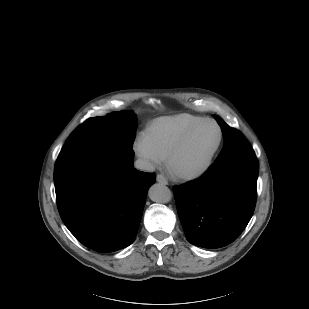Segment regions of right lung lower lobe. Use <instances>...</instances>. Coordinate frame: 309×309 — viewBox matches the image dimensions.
<instances>
[{"mask_svg": "<svg viewBox=\"0 0 309 309\" xmlns=\"http://www.w3.org/2000/svg\"><path fill=\"white\" fill-rule=\"evenodd\" d=\"M132 159V149L97 143L54 170L60 216L94 251H117L135 239L155 175L134 170Z\"/></svg>", "mask_w": 309, "mask_h": 309, "instance_id": "1", "label": "right lung lower lobe"}]
</instances>
